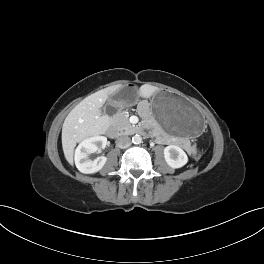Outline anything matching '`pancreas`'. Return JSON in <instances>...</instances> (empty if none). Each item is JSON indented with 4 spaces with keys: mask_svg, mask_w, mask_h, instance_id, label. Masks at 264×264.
Masks as SVG:
<instances>
[{
    "mask_svg": "<svg viewBox=\"0 0 264 264\" xmlns=\"http://www.w3.org/2000/svg\"><path fill=\"white\" fill-rule=\"evenodd\" d=\"M114 126L125 133H129L134 129V126L130 124L126 112H118L113 117Z\"/></svg>",
    "mask_w": 264,
    "mask_h": 264,
    "instance_id": "obj_1",
    "label": "pancreas"
}]
</instances>
